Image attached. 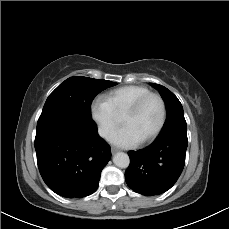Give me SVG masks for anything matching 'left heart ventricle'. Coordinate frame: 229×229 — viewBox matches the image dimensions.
<instances>
[{
	"label": "left heart ventricle",
	"mask_w": 229,
	"mask_h": 229,
	"mask_svg": "<svg viewBox=\"0 0 229 229\" xmlns=\"http://www.w3.org/2000/svg\"><path fill=\"white\" fill-rule=\"evenodd\" d=\"M161 120V105L154 98H148L135 115L124 125L134 137L144 139L151 135Z\"/></svg>",
	"instance_id": "1"
}]
</instances>
